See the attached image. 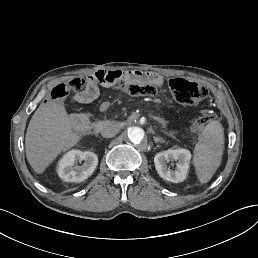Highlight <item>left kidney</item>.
<instances>
[{
	"instance_id": "obj_1",
	"label": "left kidney",
	"mask_w": 258,
	"mask_h": 258,
	"mask_svg": "<svg viewBox=\"0 0 258 258\" xmlns=\"http://www.w3.org/2000/svg\"><path fill=\"white\" fill-rule=\"evenodd\" d=\"M170 159L177 161L175 170H171L166 165ZM190 160V151L183 148L159 152L154 157L155 168L160 177L173 183L183 182L186 179Z\"/></svg>"
}]
</instances>
